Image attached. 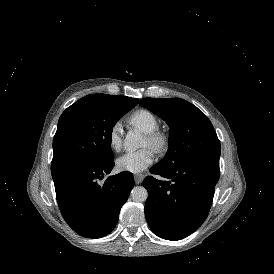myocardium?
I'll list each match as a JSON object with an SVG mask.
<instances>
[{"instance_id":"f54148a6","label":"myocardium","mask_w":274,"mask_h":274,"mask_svg":"<svg viewBox=\"0 0 274 274\" xmlns=\"http://www.w3.org/2000/svg\"><path fill=\"white\" fill-rule=\"evenodd\" d=\"M146 138L149 142V147L152 148L156 153H163L169 148V137L166 133L155 131L147 134Z\"/></svg>"}]
</instances>
